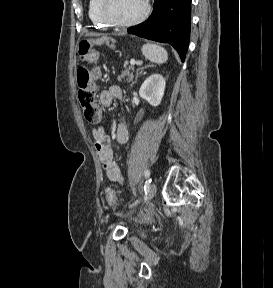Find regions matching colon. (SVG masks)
<instances>
[{"label": "colon", "mask_w": 273, "mask_h": 288, "mask_svg": "<svg viewBox=\"0 0 273 288\" xmlns=\"http://www.w3.org/2000/svg\"><path fill=\"white\" fill-rule=\"evenodd\" d=\"M108 44L112 46L111 41H109ZM78 53L80 59L86 63L94 62L98 58V51L88 40H83L80 42ZM99 76V68L87 70L84 67H79L77 70L78 101L82 108L85 120L91 123L97 122L100 117L99 109L95 99L94 86V80ZM105 198L110 207H117V196L112 188H107L105 190Z\"/></svg>", "instance_id": "5ec220e1"}]
</instances>
